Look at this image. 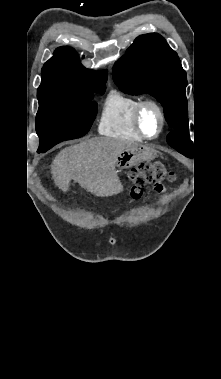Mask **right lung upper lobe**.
Segmentation results:
<instances>
[{"instance_id":"right-lung-upper-lobe-1","label":"right lung upper lobe","mask_w":221,"mask_h":379,"mask_svg":"<svg viewBox=\"0 0 221 379\" xmlns=\"http://www.w3.org/2000/svg\"><path fill=\"white\" fill-rule=\"evenodd\" d=\"M107 71L94 72L84 68L79 56L70 47H59L42 68V81L37 97L75 95L105 86Z\"/></svg>"}]
</instances>
